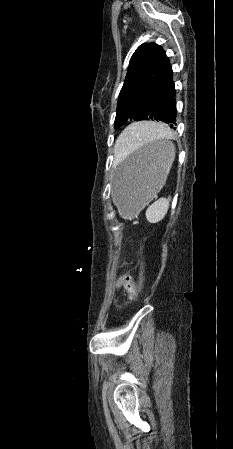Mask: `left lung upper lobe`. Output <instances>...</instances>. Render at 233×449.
<instances>
[{
  "mask_svg": "<svg viewBox=\"0 0 233 449\" xmlns=\"http://www.w3.org/2000/svg\"><path fill=\"white\" fill-rule=\"evenodd\" d=\"M165 51L155 43L140 45L134 52L120 91L114 128L127 120H146L152 101L172 79Z\"/></svg>",
  "mask_w": 233,
  "mask_h": 449,
  "instance_id": "obj_1",
  "label": "left lung upper lobe"
}]
</instances>
